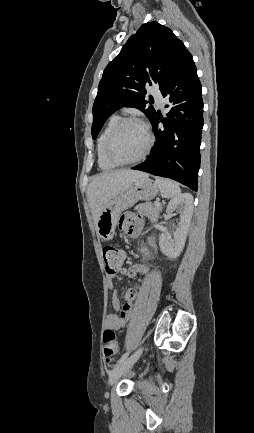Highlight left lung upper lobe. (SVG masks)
Masks as SVG:
<instances>
[{"label": "left lung upper lobe", "instance_id": "5c2ea615", "mask_svg": "<svg viewBox=\"0 0 254 433\" xmlns=\"http://www.w3.org/2000/svg\"><path fill=\"white\" fill-rule=\"evenodd\" d=\"M186 52L169 28L155 21L143 24L103 72L93 105V139L122 107L138 108L151 121L156 111L146 106L145 85L157 84L162 90Z\"/></svg>", "mask_w": 254, "mask_h": 433}]
</instances>
